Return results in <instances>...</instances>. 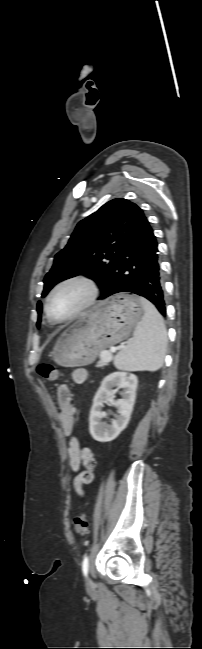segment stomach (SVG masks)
Instances as JSON below:
<instances>
[{"instance_id": "1", "label": "stomach", "mask_w": 202, "mask_h": 649, "mask_svg": "<svg viewBox=\"0 0 202 649\" xmlns=\"http://www.w3.org/2000/svg\"><path fill=\"white\" fill-rule=\"evenodd\" d=\"M143 314L136 295H113L64 331L49 356L65 367L90 364L102 350L127 338Z\"/></svg>"}]
</instances>
